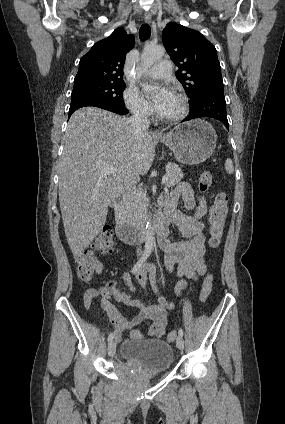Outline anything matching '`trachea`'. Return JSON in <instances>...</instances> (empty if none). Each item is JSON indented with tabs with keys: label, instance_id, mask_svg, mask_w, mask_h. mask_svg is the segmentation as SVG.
<instances>
[{
	"label": "trachea",
	"instance_id": "1",
	"mask_svg": "<svg viewBox=\"0 0 285 424\" xmlns=\"http://www.w3.org/2000/svg\"><path fill=\"white\" fill-rule=\"evenodd\" d=\"M151 35V28L148 24H143L139 30V38L141 41L147 40Z\"/></svg>",
	"mask_w": 285,
	"mask_h": 424
}]
</instances>
